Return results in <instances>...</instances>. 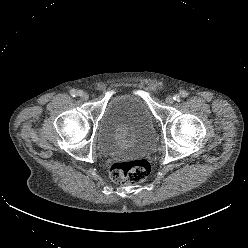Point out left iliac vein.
Here are the masks:
<instances>
[{
    "instance_id": "obj_1",
    "label": "left iliac vein",
    "mask_w": 248,
    "mask_h": 248,
    "mask_svg": "<svg viewBox=\"0 0 248 248\" xmlns=\"http://www.w3.org/2000/svg\"><path fill=\"white\" fill-rule=\"evenodd\" d=\"M167 105H172L174 103V98L172 96H168L165 99Z\"/></svg>"
}]
</instances>
